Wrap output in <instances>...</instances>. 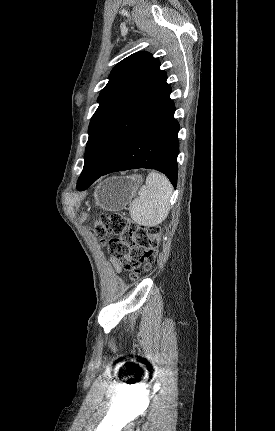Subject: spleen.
Listing matches in <instances>:
<instances>
[{
    "mask_svg": "<svg viewBox=\"0 0 275 431\" xmlns=\"http://www.w3.org/2000/svg\"><path fill=\"white\" fill-rule=\"evenodd\" d=\"M173 187L163 174L151 172L130 204V216L144 226H157L168 216Z\"/></svg>",
    "mask_w": 275,
    "mask_h": 431,
    "instance_id": "obj_1",
    "label": "spleen"
}]
</instances>
